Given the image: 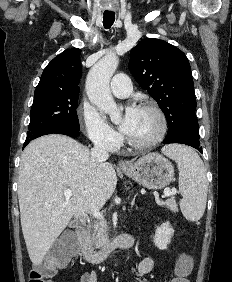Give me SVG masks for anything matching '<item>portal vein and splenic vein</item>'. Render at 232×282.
<instances>
[{"label":"portal vein and splenic vein","instance_id":"portal-vein-and-splenic-vein-1","mask_svg":"<svg viewBox=\"0 0 232 282\" xmlns=\"http://www.w3.org/2000/svg\"><path fill=\"white\" fill-rule=\"evenodd\" d=\"M63 194H64L65 197L69 198V197L72 196V191L70 189H65ZM164 195L169 197V196L173 195V192L169 188H167V189L164 190ZM91 213L93 214V216L95 218L104 221V217L99 211H92L91 210Z\"/></svg>","mask_w":232,"mask_h":282}]
</instances>
